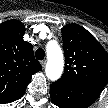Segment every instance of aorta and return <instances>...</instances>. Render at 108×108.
I'll return each instance as SVG.
<instances>
[{
    "label": "aorta",
    "mask_w": 108,
    "mask_h": 108,
    "mask_svg": "<svg viewBox=\"0 0 108 108\" xmlns=\"http://www.w3.org/2000/svg\"><path fill=\"white\" fill-rule=\"evenodd\" d=\"M46 52L48 60L45 74L49 80L56 81L61 77L64 68L62 49L56 42L51 41L46 46Z\"/></svg>",
    "instance_id": "obj_1"
}]
</instances>
